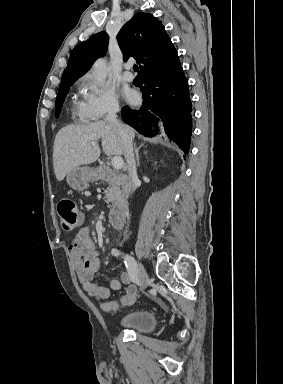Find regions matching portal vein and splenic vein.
I'll list each match as a JSON object with an SVG mask.
<instances>
[{
	"label": "portal vein and splenic vein",
	"mask_w": 283,
	"mask_h": 384,
	"mask_svg": "<svg viewBox=\"0 0 283 384\" xmlns=\"http://www.w3.org/2000/svg\"><path fill=\"white\" fill-rule=\"evenodd\" d=\"M91 146H96V144H91ZM111 164L114 170H121V168H123L124 162L120 156H114V158H112Z\"/></svg>",
	"instance_id": "obj_1"
}]
</instances>
